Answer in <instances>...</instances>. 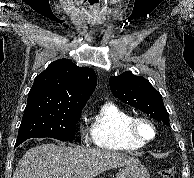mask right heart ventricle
Listing matches in <instances>:
<instances>
[{
    "label": "right heart ventricle",
    "mask_w": 194,
    "mask_h": 178,
    "mask_svg": "<svg viewBox=\"0 0 194 178\" xmlns=\"http://www.w3.org/2000/svg\"><path fill=\"white\" fill-rule=\"evenodd\" d=\"M133 116L113 103H105L91 122L90 132L95 146L106 150L135 151L143 144L131 139L126 126Z\"/></svg>",
    "instance_id": "e07e8e85"
}]
</instances>
